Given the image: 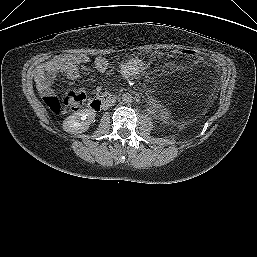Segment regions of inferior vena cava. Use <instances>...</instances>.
Returning <instances> with one entry per match:
<instances>
[{
  "instance_id": "inferior-vena-cava-1",
  "label": "inferior vena cava",
  "mask_w": 257,
  "mask_h": 257,
  "mask_svg": "<svg viewBox=\"0 0 257 257\" xmlns=\"http://www.w3.org/2000/svg\"><path fill=\"white\" fill-rule=\"evenodd\" d=\"M112 105H114V101H111V102L107 103V104L105 105V107L108 108L109 106H112Z\"/></svg>"
}]
</instances>
